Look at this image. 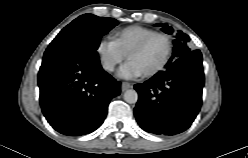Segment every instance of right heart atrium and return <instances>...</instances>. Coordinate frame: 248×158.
Instances as JSON below:
<instances>
[{
    "label": "right heart atrium",
    "instance_id": "d8ad5b80",
    "mask_svg": "<svg viewBox=\"0 0 248 158\" xmlns=\"http://www.w3.org/2000/svg\"><path fill=\"white\" fill-rule=\"evenodd\" d=\"M96 52L102 68L107 72H113L126 58V54L118 47L114 40L107 38L99 40Z\"/></svg>",
    "mask_w": 248,
    "mask_h": 158
}]
</instances>
